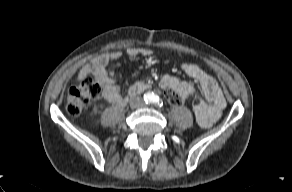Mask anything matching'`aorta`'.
Returning a JSON list of instances; mask_svg holds the SVG:
<instances>
[{"instance_id": "762f6f07", "label": "aorta", "mask_w": 292, "mask_h": 192, "mask_svg": "<svg viewBox=\"0 0 292 192\" xmlns=\"http://www.w3.org/2000/svg\"><path fill=\"white\" fill-rule=\"evenodd\" d=\"M146 97L151 100V99H153L154 94L149 92V93H147Z\"/></svg>"}]
</instances>
